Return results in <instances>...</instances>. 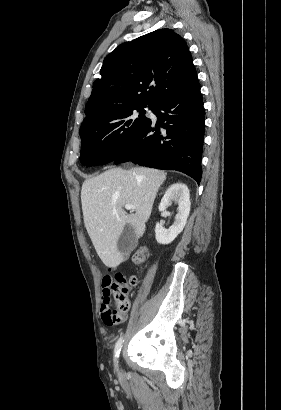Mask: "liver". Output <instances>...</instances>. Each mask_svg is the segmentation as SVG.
I'll return each mask as SVG.
<instances>
[{"mask_svg":"<svg viewBox=\"0 0 281 410\" xmlns=\"http://www.w3.org/2000/svg\"><path fill=\"white\" fill-rule=\"evenodd\" d=\"M166 175L152 168H113L84 181L81 202L85 228L107 267H116L125 260L117 248L125 225L133 227L136 238L144 234ZM126 204L135 206V213L125 214Z\"/></svg>","mask_w":281,"mask_h":410,"instance_id":"obj_1","label":"liver"}]
</instances>
